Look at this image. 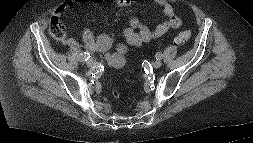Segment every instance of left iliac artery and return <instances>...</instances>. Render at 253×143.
I'll return each instance as SVG.
<instances>
[{
    "mask_svg": "<svg viewBox=\"0 0 253 143\" xmlns=\"http://www.w3.org/2000/svg\"><path fill=\"white\" fill-rule=\"evenodd\" d=\"M155 57H156L157 60H158V59L160 60V59L162 58V53H160V52L157 53Z\"/></svg>",
    "mask_w": 253,
    "mask_h": 143,
    "instance_id": "left-iliac-artery-1",
    "label": "left iliac artery"
}]
</instances>
